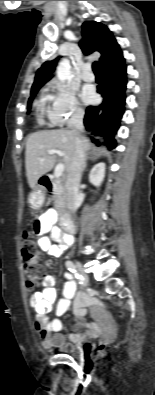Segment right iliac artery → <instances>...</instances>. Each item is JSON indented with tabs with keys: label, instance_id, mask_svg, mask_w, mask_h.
Segmentation results:
<instances>
[{
	"label": "right iliac artery",
	"instance_id": "obj_1",
	"mask_svg": "<svg viewBox=\"0 0 155 395\" xmlns=\"http://www.w3.org/2000/svg\"><path fill=\"white\" fill-rule=\"evenodd\" d=\"M65 265L70 272L75 274L77 279H81L82 276L77 272L76 266L72 261H66Z\"/></svg>",
	"mask_w": 155,
	"mask_h": 395
}]
</instances>
